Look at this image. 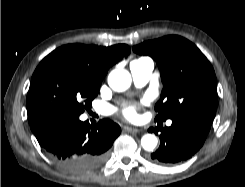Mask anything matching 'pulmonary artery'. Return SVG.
Segmentation results:
<instances>
[{"label": "pulmonary artery", "mask_w": 245, "mask_h": 187, "mask_svg": "<svg viewBox=\"0 0 245 187\" xmlns=\"http://www.w3.org/2000/svg\"><path fill=\"white\" fill-rule=\"evenodd\" d=\"M154 62L150 58H141L130 64V71L136 86H144L152 77ZM171 122H168L170 125Z\"/></svg>", "instance_id": "e3ab8cb5"}]
</instances>
